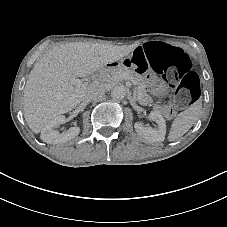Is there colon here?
Returning a JSON list of instances; mask_svg holds the SVG:
<instances>
[{"label":"colon","instance_id":"5ec220e1","mask_svg":"<svg viewBox=\"0 0 227 227\" xmlns=\"http://www.w3.org/2000/svg\"><path fill=\"white\" fill-rule=\"evenodd\" d=\"M148 65L138 54L133 55V63L141 73L154 71L174 88V96H163L159 108L167 116H173L181 106L196 101L200 96L198 75L192 70L190 58L183 50L160 42L144 45Z\"/></svg>","mask_w":227,"mask_h":227}]
</instances>
